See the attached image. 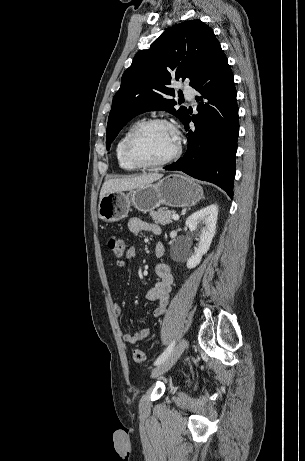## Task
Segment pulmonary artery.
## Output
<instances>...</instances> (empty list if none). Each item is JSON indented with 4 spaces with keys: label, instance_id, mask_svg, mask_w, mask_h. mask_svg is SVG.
I'll use <instances>...</instances> for the list:
<instances>
[{
    "label": "pulmonary artery",
    "instance_id": "e3ab8cb5",
    "mask_svg": "<svg viewBox=\"0 0 305 461\" xmlns=\"http://www.w3.org/2000/svg\"><path fill=\"white\" fill-rule=\"evenodd\" d=\"M183 91L188 100H192L194 98L195 90L193 88L185 86Z\"/></svg>",
    "mask_w": 305,
    "mask_h": 461
}]
</instances>
